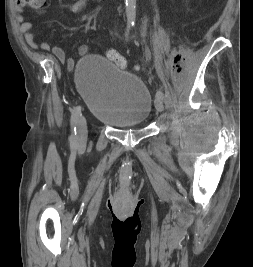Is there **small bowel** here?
I'll use <instances>...</instances> for the list:
<instances>
[{
	"label": "small bowel",
	"mask_w": 253,
	"mask_h": 267,
	"mask_svg": "<svg viewBox=\"0 0 253 267\" xmlns=\"http://www.w3.org/2000/svg\"><path fill=\"white\" fill-rule=\"evenodd\" d=\"M88 0H74L72 3L68 4V8L72 13L81 12L87 5ZM20 31L24 34L25 41L33 49H40L42 51L51 50L54 56L64 62L65 53L64 50L59 46H50L46 42L37 43L35 40L34 33L32 32V24L30 22H22L20 25ZM89 46L86 44L80 45L78 48V53L83 56L88 54Z\"/></svg>",
	"instance_id": "small-bowel-1"
}]
</instances>
